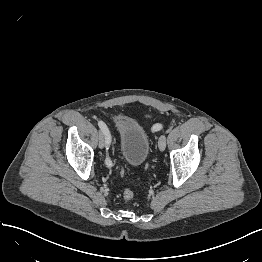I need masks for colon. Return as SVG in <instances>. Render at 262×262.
<instances>
[{
    "label": "colon",
    "instance_id": "5ec220e1",
    "mask_svg": "<svg viewBox=\"0 0 262 262\" xmlns=\"http://www.w3.org/2000/svg\"><path fill=\"white\" fill-rule=\"evenodd\" d=\"M123 198L125 200H131L134 198V192L131 189H126L123 193Z\"/></svg>",
    "mask_w": 262,
    "mask_h": 262
}]
</instances>
